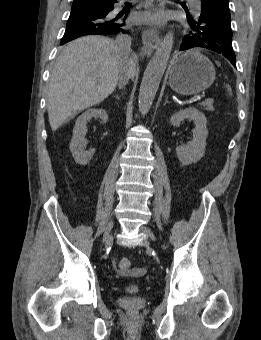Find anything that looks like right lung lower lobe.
Listing matches in <instances>:
<instances>
[{
  "label": "right lung lower lobe",
  "instance_id": "right-lung-lower-lobe-1",
  "mask_svg": "<svg viewBox=\"0 0 261 340\" xmlns=\"http://www.w3.org/2000/svg\"><path fill=\"white\" fill-rule=\"evenodd\" d=\"M117 0H74L62 41L83 35H110L124 26L129 9L114 10ZM61 45V43H60Z\"/></svg>",
  "mask_w": 261,
  "mask_h": 340
}]
</instances>
